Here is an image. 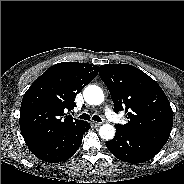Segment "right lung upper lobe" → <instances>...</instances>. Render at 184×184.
<instances>
[{"mask_svg":"<svg viewBox=\"0 0 184 184\" xmlns=\"http://www.w3.org/2000/svg\"><path fill=\"white\" fill-rule=\"evenodd\" d=\"M98 70L93 64L62 62L33 82L20 107V130L27 146L68 134L86 123L66 112L76 106V95L97 76Z\"/></svg>","mask_w":184,"mask_h":184,"instance_id":"right-lung-upper-lobe-1","label":"right lung upper lobe"}]
</instances>
